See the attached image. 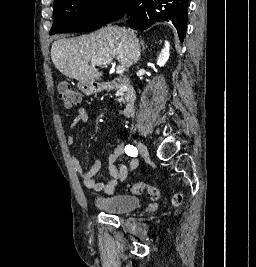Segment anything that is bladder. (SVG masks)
Segmentation results:
<instances>
[{
  "label": "bladder",
  "mask_w": 256,
  "mask_h": 267,
  "mask_svg": "<svg viewBox=\"0 0 256 267\" xmlns=\"http://www.w3.org/2000/svg\"><path fill=\"white\" fill-rule=\"evenodd\" d=\"M141 199L136 195L118 193L107 197H97L94 207L107 213L119 214L130 212L140 205Z\"/></svg>",
  "instance_id": "obj_1"
}]
</instances>
